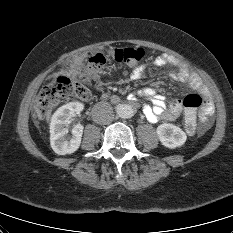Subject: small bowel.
<instances>
[{"instance_id": "1", "label": "small bowel", "mask_w": 233, "mask_h": 233, "mask_svg": "<svg viewBox=\"0 0 233 233\" xmlns=\"http://www.w3.org/2000/svg\"><path fill=\"white\" fill-rule=\"evenodd\" d=\"M155 66H163L168 63H175V60L167 54L158 55L151 62ZM145 65L135 67L131 72V78L137 79L143 73ZM170 76L173 79L184 81L189 83L192 89L199 92L204 100L205 105L200 111V126L199 131L205 132L211 126V116L214 111V107L210 98L209 91L204 85L202 80L188 68L179 65V68L171 71ZM137 98H143L150 101V104H145L143 107L146 118L152 122L157 123L160 121H176L183 110V102L180 99H174L167 103L164 98L157 94L154 88L147 87L140 89L136 95H132L130 100L135 101ZM197 129L196 122L193 126H186V131L189 135L195 133Z\"/></svg>"}]
</instances>
